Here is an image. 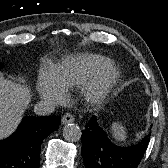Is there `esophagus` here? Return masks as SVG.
Wrapping results in <instances>:
<instances>
[{
	"label": "esophagus",
	"mask_w": 168,
	"mask_h": 168,
	"mask_svg": "<svg viewBox=\"0 0 168 168\" xmlns=\"http://www.w3.org/2000/svg\"><path fill=\"white\" fill-rule=\"evenodd\" d=\"M74 122V116L70 113H66L65 115H63L62 117V124H69Z\"/></svg>",
	"instance_id": "1"
}]
</instances>
